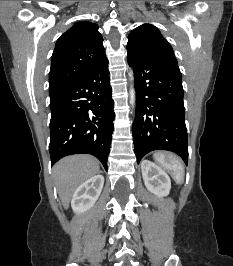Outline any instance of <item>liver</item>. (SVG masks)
<instances>
[{
  "label": "liver",
  "instance_id": "6515ba94",
  "mask_svg": "<svg viewBox=\"0 0 233 266\" xmlns=\"http://www.w3.org/2000/svg\"><path fill=\"white\" fill-rule=\"evenodd\" d=\"M99 162L90 155H72L58 161L53 168L57 191L65 209L76 189L98 174Z\"/></svg>",
  "mask_w": 233,
  "mask_h": 266
}]
</instances>
